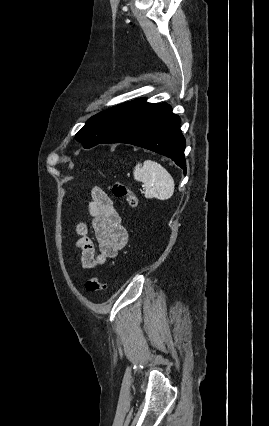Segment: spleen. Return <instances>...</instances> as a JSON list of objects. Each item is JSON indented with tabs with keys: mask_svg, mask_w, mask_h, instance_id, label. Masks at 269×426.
Returning <instances> with one entry per match:
<instances>
[{
	"mask_svg": "<svg viewBox=\"0 0 269 426\" xmlns=\"http://www.w3.org/2000/svg\"><path fill=\"white\" fill-rule=\"evenodd\" d=\"M133 176L136 181L144 184L146 198L167 200L174 193L175 184L172 176L155 161L146 160L143 164L137 163Z\"/></svg>",
	"mask_w": 269,
	"mask_h": 426,
	"instance_id": "obj_1",
	"label": "spleen"
}]
</instances>
